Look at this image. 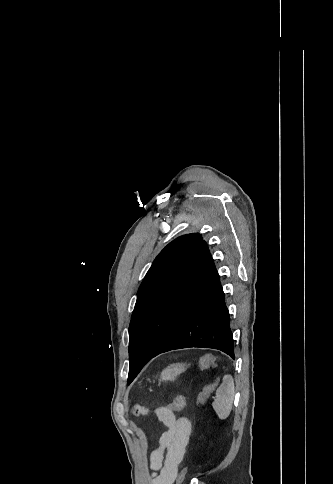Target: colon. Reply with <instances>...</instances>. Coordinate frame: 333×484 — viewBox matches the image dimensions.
Wrapping results in <instances>:
<instances>
[{"mask_svg":"<svg viewBox=\"0 0 333 484\" xmlns=\"http://www.w3.org/2000/svg\"><path fill=\"white\" fill-rule=\"evenodd\" d=\"M214 363L213 358L211 356H206L203 357L200 362H199V368L201 370L206 369L210 366H212ZM219 384V379L216 378L206 386H204L201 391L199 392L198 395V404H202L205 402V400L210 396V394L215 390V388ZM186 404V398L184 395H177L175 398L171 401V403L167 406L168 409L171 411H180L185 407ZM187 473V469L184 468L178 475L177 478V484H181L183 479L185 478Z\"/></svg>","mask_w":333,"mask_h":484,"instance_id":"colon-1","label":"colon"}]
</instances>
